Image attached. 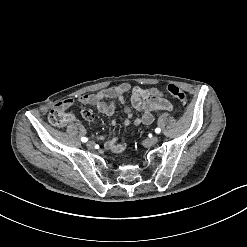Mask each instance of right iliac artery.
I'll return each instance as SVG.
<instances>
[{"instance_id":"right-iliac-artery-1","label":"right iliac artery","mask_w":247,"mask_h":247,"mask_svg":"<svg viewBox=\"0 0 247 247\" xmlns=\"http://www.w3.org/2000/svg\"><path fill=\"white\" fill-rule=\"evenodd\" d=\"M81 141H82V142H87V141H88V138L82 137V138H81Z\"/></svg>"}]
</instances>
